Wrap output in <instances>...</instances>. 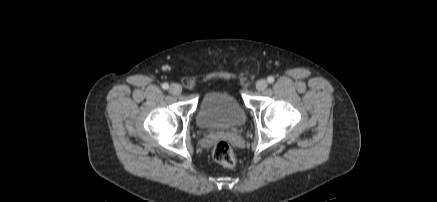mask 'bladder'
Returning <instances> with one entry per match:
<instances>
[{
	"mask_svg": "<svg viewBox=\"0 0 437 202\" xmlns=\"http://www.w3.org/2000/svg\"><path fill=\"white\" fill-rule=\"evenodd\" d=\"M246 113L238 99L227 91L206 93L199 105L196 121L200 128L231 129L244 124Z\"/></svg>",
	"mask_w": 437,
	"mask_h": 202,
	"instance_id": "bladder-1",
	"label": "bladder"
}]
</instances>
